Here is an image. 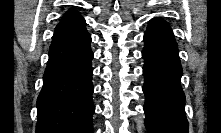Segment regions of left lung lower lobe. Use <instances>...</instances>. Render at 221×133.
<instances>
[{
  "label": "left lung lower lobe",
  "mask_w": 221,
  "mask_h": 133,
  "mask_svg": "<svg viewBox=\"0 0 221 133\" xmlns=\"http://www.w3.org/2000/svg\"><path fill=\"white\" fill-rule=\"evenodd\" d=\"M144 41L145 126L149 133H188L182 67L173 32L164 20L154 18Z\"/></svg>",
  "instance_id": "left-lung-lower-lobe-1"
}]
</instances>
